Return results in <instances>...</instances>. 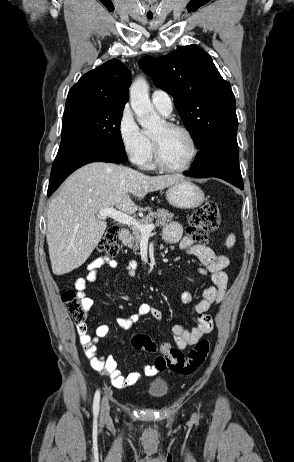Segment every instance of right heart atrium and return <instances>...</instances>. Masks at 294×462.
<instances>
[{"label":"right heart atrium","mask_w":294,"mask_h":462,"mask_svg":"<svg viewBox=\"0 0 294 462\" xmlns=\"http://www.w3.org/2000/svg\"><path fill=\"white\" fill-rule=\"evenodd\" d=\"M117 131L122 149L129 160L135 165H143L149 152V142L129 106H125L119 116Z\"/></svg>","instance_id":"obj_1"}]
</instances>
